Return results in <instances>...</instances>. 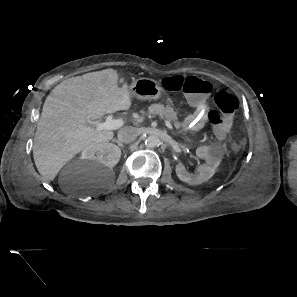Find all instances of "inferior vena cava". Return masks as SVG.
Listing matches in <instances>:
<instances>
[{"mask_svg": "<svg viewBox=\"0 0 297 297\" xmlns=\"http://www.w3.org/2000/svg\"><path fill=\"white\" fill-rule=\"evenodd\" d=\"M139 135L138 130L134 127H125L118 131V140L123 143L134 141Z\"/></svg>", "mask_w": 297, "mask_h": 297, "instance_id": "inferior-vena-cava-1", "label": "inferior vena cava"}]
</instances>
